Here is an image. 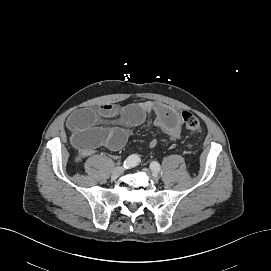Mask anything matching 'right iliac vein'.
<instances>
[{
  "label": "right iliac vein",
  "mask_w": 271,
  "mask_h": 271,
  "mask_svg": "<svg viewBox=\"0 0 271 271\" xmlns=\"http://www.w3.org/2000/svg\"><path fill=\"white\" fill-rule=\"evenodd\" d=\"M123 172H124V168L122 167L114 168L111 175L112 179H117L120 175L123 174Z\"/></svg>",
  "instance_id": "obj_1"
}]
</instances>
